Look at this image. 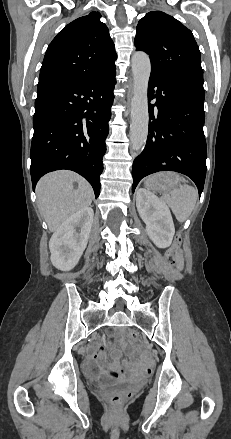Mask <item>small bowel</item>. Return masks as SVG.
Returning <instances> with one entry per match:
<instances>
[{"label":"small bowel","mask_w":231,"mask_h":439,"mask_svg":"<svg viewBox=\"0 0 231 439\" xmlns=\"http://www.w3.org/2000/svg\"><path fill=\"white\" fill-rule=\"evenodd\" d=\"M111 341L113 342L114 338H111ZM92 358L94 360H97L101 365H103L105 361V347L103 346L98 347L96 351L93 353ZM119 366H120V354L115 353L113 365L107 370H102V374L106 373V374L114 375L118 372ZM138 371L142 373H147L149 371V367L147 364L139 365Z\"/></svg>","instance_id":"c3829d8e"}]
</instances>
